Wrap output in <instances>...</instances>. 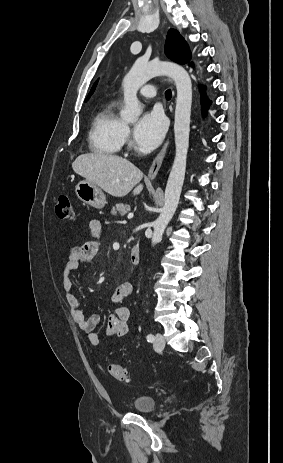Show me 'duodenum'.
I'll return each instance as SVG.
<instances>
[{
    "instance_id": "410a0bca",
    "label": "duodenum",
    "mask_w": 283,
    "mask_h": 463,
    "mask_svg": "<svg viewBox=\"0 0 283 463\" xmlns=\"http://www.w3.org/2000/svg\"><path fill=\"white\" fill-rule=\"evenodd\" d=\"M140 261V248L137 245H134L130 252V263L133 266L138 265Z\"/></svg>"
}]
</instances>
